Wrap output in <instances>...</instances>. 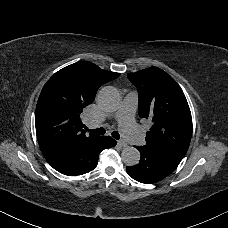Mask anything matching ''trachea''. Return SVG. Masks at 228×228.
Masks as SVG:
<instances>
[{
  "label": "trachea",
  "mask_w": 228,
  "mask_h": 228,
  "mask_svg": "<svg viewBox=\"0 0 228 228\" xmlns=\"http://www.w3.org/2000/svg\"><path fill=\"white\" fill-rule=\"evenodd\" d=\"M87 131H89L90 133L93 134H97V135H103L106 133V130L104 128H97V129H88L86 128ZM115 139H120V134L117 131H113L111 134Z\"/></svg>",
  "instance_id": "1"
}]
</instances>
